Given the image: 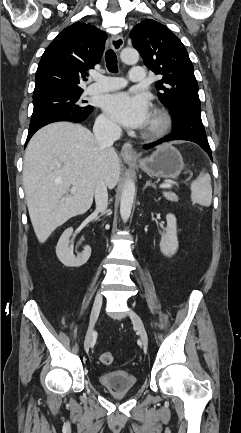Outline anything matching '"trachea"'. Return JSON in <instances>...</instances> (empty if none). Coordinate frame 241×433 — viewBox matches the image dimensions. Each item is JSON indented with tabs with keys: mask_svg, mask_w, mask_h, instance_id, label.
Wrapping results in <instances>:
<instances>
[{
	"mask_svg": "<svg viewBox=\"0 0 241 433\" xmlns=\"http://www.w3.org/2000/svg\"><path fill=\"white\" fill-rule=\"evenodd\" d=\"M106 66L109 72H117V56L112 49H109L105 53Z\"/></svg>",
	"mask_w": 241,
	"mask_h": 433,
	"instance_id": "trachea-1",
	"label": "trachea"
}]
</instances>
